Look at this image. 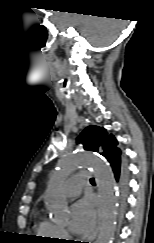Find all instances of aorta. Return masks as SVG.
I'll list each match as a JSON object with an SVG mask.
<instances>
[{"mask_svg": "<svg viewBox=\"0 0 154 243\" xmlns=\"http://www.w3.org/2000/svg\"><path fill=\"white\" fill-rule=\"evenodd\" d=\"M81 167L93 169L101 200V226L94 243H112L117 218L115 179L111 167L90 152L79 151L61 159L58 169L50 179L47 195L48 210L56 219L65 217L68 206L62 186L68 176Z\"/></svg>", "mask_w": 154, "mask_h": 243, "instance_id": "1", "label": "aorta"}]
</instances>
